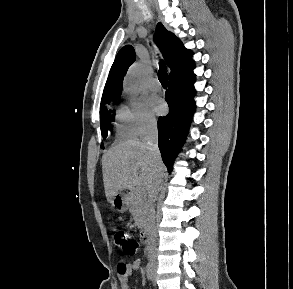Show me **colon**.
<instances>
[{"label":"colon","mask_w":293,"mask_h":289,"mask_svg":"<svg viewBox=\"0 0 293 289\" xmlns=\"http://www.w3.org/2000/svg\"><path fill=\"white\" fill-rule=\"evenodd\" d=\"M113 236L116 245L122 250L124 254L132 256L137 253L138 243L128 233L121 229H115ZM125 270V268H122V271Z\"/></svg>","instance_id":"colon-1"}]
</instances>
